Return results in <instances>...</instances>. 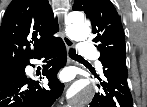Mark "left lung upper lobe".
Returning a JSON list of instances; mask_svg holds the SVG:
<instances>
[{
	"label": "left lung upper lobe",
	"instance_id": "left-lung-upper-lobe-1",
	"mask_svg": "<svg viewBox=\"0 0 147 107\" xmlns=\"http://www.w3.org/2000/svg\"><path fill=\"white\" fill-rule=\"evenodd\" d=\"M73 10L84 11L91 20L100 61L111 54L126 55L121 19L110 0H75Z\"/></svg>",
	"mask_w": 147,
	"mask_h": 107
}]
</instances>
